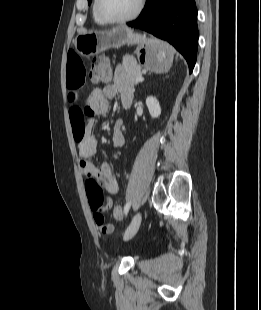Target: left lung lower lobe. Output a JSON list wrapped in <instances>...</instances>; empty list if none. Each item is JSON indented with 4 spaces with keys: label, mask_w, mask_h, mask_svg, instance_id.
<instances>
[{
    "label": "left lung lower lobe",
    "mask_w": 261,
    "mask_h": 310,
    "mask_svg": "<svg viewBox=\"0 0 261 310\" xmlns=\"http://www.w3.org/2000/svg\"><path fill=\"white\" fill-rule=\"evenodd\" d=\"M127 24L168 41L185 57L192 72L198 46L195 0H147L138 19Z\"/></svg>",
    "instance_id": "1"
}]
</instances>
